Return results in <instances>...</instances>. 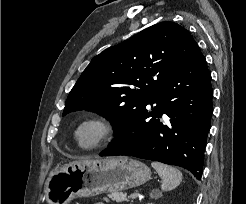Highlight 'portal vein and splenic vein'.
I'll return each mask as SVG.
<instances>
[{
	"label": "portal vein and splenic vein",
	"instance_id": "portal-vein-and-splenic-vein-1",
	"mask_svg": "<svg viewBox=\"0 0 246 204\" xmlns=\"http://www.w3.org/2000/svg\"><path fill=\"white\" fill-rule=\"evenodd\" d=\"M130 198H131V199H134V198H136V195H135V194H132V195L130 196Z\"/></svg>",
	"mask_w": 246,
	"mask_h": 204
}]
</instances>
